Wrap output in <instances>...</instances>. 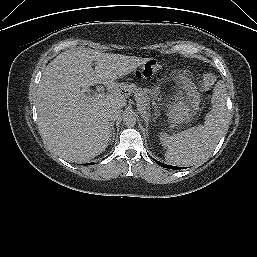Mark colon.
Masks as SVG:
<instances>
[{
  "label": "colon",
  "mask_w": 257,
  "mask_h": 257,
  "mask_svg": "<svg viewBox=\"0 0 257 257\" xmlns=\"http://www.w3.org/2000/svg\"><path fill=\"white\" fill-rule=\"evenodd\" d=\"M162 70V65L155 61L151 60L141 66L136 72V77L138 78H149L157 74ZM217 81V76L214 73L208 72L204 74L202 78V88L206 92L207 95H210L211 89Z\"/></svg>",
  "instance_id": "obj_1"
}]
</instances>
